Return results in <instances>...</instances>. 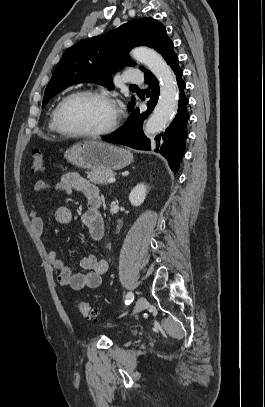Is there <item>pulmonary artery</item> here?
Instances as JSON below:
<instances>
[{
	"label": "pulmonary artery",
	"instance_id": "e3ab8cb5",
	"mask_svg": "<svg viewBox=\"0 0 265 407\" xmlns=\"http://www.w3.org/2000/svg\"><path fill=\"white\" fill-rule=\"evenodd\" d=\"M125 82L129 84H139L144 81L143 74L137 69H130L125 73Z\"/></svg>",
	"mask_w": 265,
	"mask_h": 407
}]
</instances>
